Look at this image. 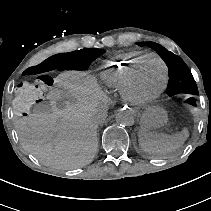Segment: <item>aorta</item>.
Instances as JSON below:
<instances>
[{"label": "aorta", "instance_id": "762f6f07", "mask_svg": "<svg viewBox=\"0 0 211 211\" xmlns=\"http://www.w3.org/2000/svg\"><path fill=\"white\" fill-rule=\"evenodd\" d=\"M115 119L117 124H119L120 126H132L135 122L132 111L128 109H121L120 111H118Z\"/></svg>", "mask_w": 211, "mask_h": 211}]
</instances>
